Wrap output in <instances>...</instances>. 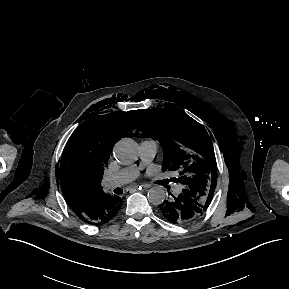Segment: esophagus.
Returning <instances> with one entry per match:
<instances>
[{
    "label": "esophagus",
    "mask_w": 289,
    "mask_h": 289,
    "mask_svg": "<svg viewBox=\"0 0 289 289\" xmlns=\"http://www.w3.org/2000/svg\"><path fill=\"white\" fill-rule=\"evenodd\" d=\"M151 187V185L150 184H143V185H140V186H133V189H138V190H140V189H149Z\"/></svg>",
    "instance_id": "esophagus-1"
}]
</instances>
